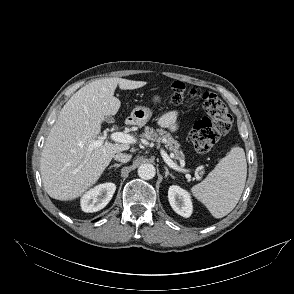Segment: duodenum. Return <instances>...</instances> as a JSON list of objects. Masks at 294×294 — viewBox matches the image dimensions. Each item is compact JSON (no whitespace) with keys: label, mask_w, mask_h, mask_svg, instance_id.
Here are the masks:
<instances>
[{"label":"duodenum","mask_w":294,"mask_h":294,"mask_svg":"<svg viewBox=\"0 0 294 294\" xmlns=\"http://www.w3.org/2000/svg\"><path fill=\"white\" fill-rule=\"evenodd\" d=\"M133 121H134V120H133L132 118H128V119L125 120V125H126V126H130V125L133 124Z\"/></svg>","instance_id":"1"}]
</instances>
